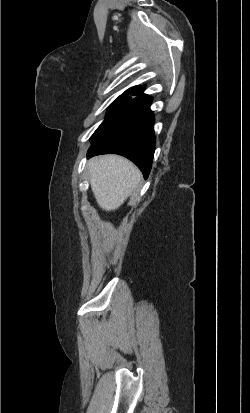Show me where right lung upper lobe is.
<instances>
[{
  "label": "right lung upper lobe",
  "instance_id": "cb5924a9",
  "mask_svg": "<svg viewBox=\"0 0 250 413\" xmlns=\"http://www.w3.org/2000/svg\"><path fill=\"white\" fill-rule=\"evenodd\" d=\"M143 90H144V86H141V87L134 86V87L126 90V91L124 92V94L136 95V96H138V97H140V96H146V95L142 94Z\"/></svg>",
  "mask_w": 250,
  "mask_h": 413
}]
</instances>
